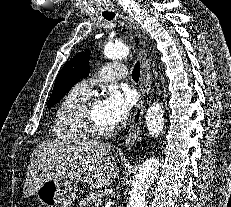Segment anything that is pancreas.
I'll return each mask as SVG.
<instances>
[{"label": "pancreas", "instance_id": "cf45deb5", "mask_svg": "<svg viewBox=\"0 0 231 207\" xmlns=\"http://www.w3.org/2000/svg\"><path fill=\"white\" fill-rule=\"evenodd\" d=\"M102 197L103 195L100 191L92 192L79 202V207H91L96 203L102 204Z\"/></svg>", "mask_w": 231, "mask_h": 207}]
</instances>
